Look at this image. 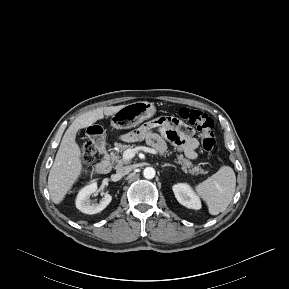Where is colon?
<instances>
[{
  "label": "colon",
  "mask_w": 289,
  "mask_h": 289,
  "mask_svg": "<svg viewBox=\"0 0 289 289\" xmlns=\"http://www.w3.org/2000/svg\"><path fill=\"white\" fill-rule=\"evenodd\" d=\"M181 120L196 127L199 132L202 148L212 155L216 140L213 132L214 122L206 113L192 108H181L178 112ZM95 155L94 144L90 141L81 146V159L84 164H89Z\"/></svg>",
  "instance_id": "5ec220e1"
}]
</instances>
